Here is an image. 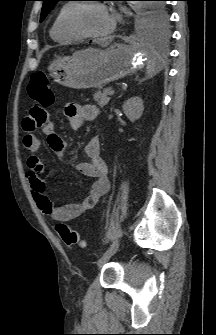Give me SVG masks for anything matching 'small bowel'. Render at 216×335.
<instances>
[{"mask_svg":"<svg viewBox=\"0 0 216 335\" xmlns=\"http://www.w3.org/2000/svg\"><path fill=\"white\" fill-rule=\"evenodd\" d=\"M65 110L68 115L69 125L74 130L79 129L84 122L95 119L99 113L98 108L92 104L70 103ZM50 113V108H43V104H32L29 118L23 123L25 131L23 146L29 152L27 157V166L29 168L27 178L38 209L56 222H66L92 209L100 198L108 192L110 181L107 175V166L100 154L99 139L93 136L84 147V153L88 161L75 163L79 172L86 177L94 179L87 196L82 201L63 206H55L51 202L46 193L44 182L41 179L43 164L38 155L40 140L33 133L34 130H38L39 134L47 135L50 147L58 156L63 157L66 154V143L54 133L52 124L46 121L51 119Z\"/></svg>","mask_w":216,"mask_h":335,"instance_id":"c3829d8e","label":"small bowel"}]
</instances>
